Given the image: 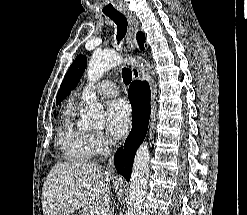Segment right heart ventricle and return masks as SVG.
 I'll list each match as a JSON object with an SVG mask.
<instances>
[{
    "label": "right heart ventricle",
    "mask_w": 247,
    "mask_h": 215,
    "mask_svg": "<svg viewBox=\"0 0 247 215\" xmlns=\"http://www.w3.org/2000/svg\"><path fill=\"white\" fill-rule=\"evenodd\" d=\"M75 117L76 105L69 103L58 130L57 140L67 160L85 162L90 160L95 153L92 133L79 126Z\"/></svg>",
    "instance_id": "e07e8e85"
}]
</instances>
